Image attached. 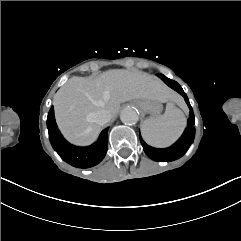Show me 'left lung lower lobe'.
<instances>
[{
  "instance_id": "obj_1",
  "label": "left lung lower lobe",
  "mask_w": 241,
  "mask_h": 241,
  "mask_svg": "<svg viewBox=\"0 0 241 241\" xmlns=\"http://www.w3.org/2000/svg\"><path fill=\"white\" fill-rule=\"evenodd\" d=\"M157 76L163 80L169 87L177 91L181 94L189 109L190 114L188 118L187 127L183 133V135L179 138V140L174 143L172 146L168 148H154L147 145L140 136V142L143 146L144 152L146 155L154 161H172L179 157H181L189 148L191 143L193 142L194 135H195V127H194V113L193 109L189 103V99L185 92L183 91L182 87L174 80H171L165 77L163 74H157Z\"/></svg>"
}]
</instances>
